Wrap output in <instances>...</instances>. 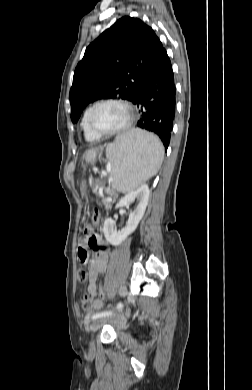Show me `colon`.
Here are the masks:
<instances>
[{
    "label": "colon",
    "instance_id": "obj_1",
    "mask_svg": "<svg viewBox=\"0 0 252 390\" xmlns=\"http://www.w3.org/2000/svg\"><path fill=\"white\" fill-rule=\"evenodd\" d=\"M99 217H100V214L96 210L94 212V214H93V223L95 225L98 224ZM84 261H85V257L83 256L81 262L84 263ZM78 280L80 282H86L87 280H89V273H88V271L85 268H80L79 269V271H78ZM80 306H81L82 311H84L86 313L91 312L93 310V300H92L91 296H89V295L83 296L82 299H81V302H80Z\"/></svg>",
    "mask_w": 252,
    "mask_h": 390
}]
</instances>
